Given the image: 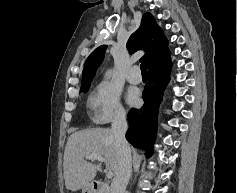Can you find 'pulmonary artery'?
<instances>
[{
  "label": "pulmonary artery",
  "instance_id": "e3ab8cb5",
  "mask_svg": "<svg viewBox=\"0 0 237 193\" xmlns=\"http://www.w3.org/2000/svg\"><path fill=\"white\" fill-rule=\"evenodd\" d=\"M128 82L132 84H139L142 81V76L139 72V68L137 66H133L129 73L127 74Z\"/></svg>",
  "mask_w": 237,
  "mask_h": 193
}]
</instances>
